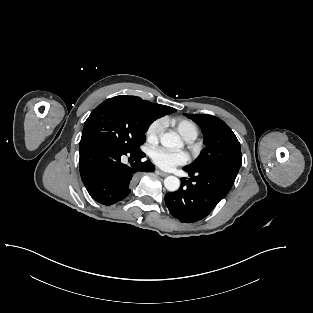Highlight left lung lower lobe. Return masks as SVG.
Listing matches in <instances>:
<instances>
[{
  "label": "left lung lower lobe",
  "instance_id": "obj_1",
  "mask_svg": "<svg viewBox=\"0 0 313 313\" xmlns=\"http://www.w3.org/2000/svg\"><path fill=\"white\" fill-rule=\"evenodd\" d=\"M183 169L190 178H182L179 190L165 195V203L175 218L186 223L205 218L228 194L238 173L227 169Z\"/></svg>",
  "mask_w": 313,
  "mask_h": 313
}]
</instances>
